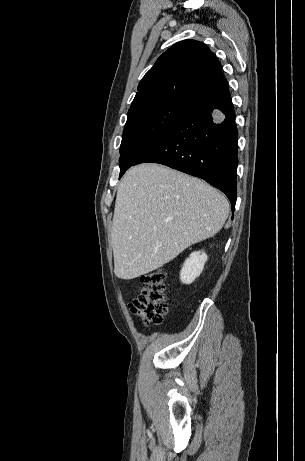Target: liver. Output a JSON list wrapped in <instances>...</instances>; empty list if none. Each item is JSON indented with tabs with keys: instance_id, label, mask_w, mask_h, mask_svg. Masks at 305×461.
<instances>
[{
	"instance_id": "6515ba94",
	"label": "liver",
	"mask_w": 305,
	"mask_h": 461,
	"mask_svg": "<svg viewBox=\"0 0 305 461\" xmlns=\"http://www.w3.org/2000/svg\"><path fill=\"white\" fill-rule=\"evenodd\" d=\"M228 213L226 197L198 178L158 164L129 169L111 228L115 275L130 280L160 268L217 234Z\"/></svg>"
}]
</instances>
